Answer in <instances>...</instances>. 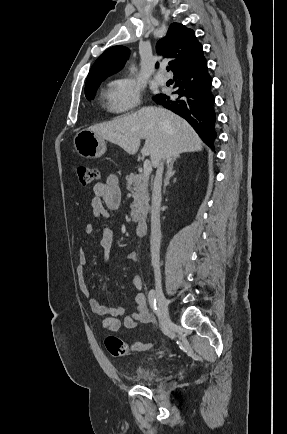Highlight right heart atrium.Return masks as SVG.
<instances>
[{"instance_id":"right-heart-atrium-1","label":"right heart atrium","mask_w":287,"mask_h":434,"mask_svg":"<svg viewBox=\"0 0 287 434\" xmlns=\"http://www.w3.org/2000/svg\"><path fill=\"white\" fill-rule=\"evenodd\" d=\"M141 98V87L129 78L113 80L107 89V101L110 110L125 113L138 105Z\"/></svg>"}]
</instances>
